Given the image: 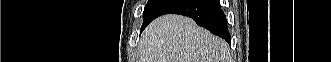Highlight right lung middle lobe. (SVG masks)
<instances>
[{
	"instance_id": "dd1d6c3e",
	"label": "right lung middle lobe",
	"mask_w": 331,
	"mask_h": 62,
	"mask_svg": "<svg viewBox=\"0 0 331 62\" xmlns=\"http://www.w3.org/2000/svg\"><path fill=\"white\" fill-rule=\"evenodd\" d=\"M175 0H149L143 12V26L154 20L166 7Z\"/></svg>"
}]
</instances>
